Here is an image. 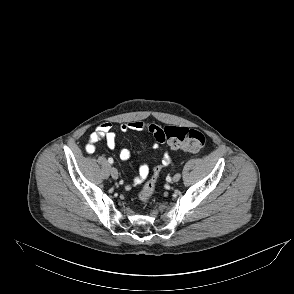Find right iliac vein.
<instances>
[{
    "instance_id": "right-iliac-vein-1",
    "label": "right iliac vein",
    "mask_w": 294,
    "mask_h": 294,
    "mask_svg": "<svg viewBox=\"0 0 294 294\" xmlns=\"http://www.w3.org/2000/svg\"><path fill=\"white\" fill-rule=\"evenodd\" d=\"M110 172H111V176L113 179H115V180L118 179L119 174H118V170L116 168H112Z\"/></svg>"
}]
</instances>
